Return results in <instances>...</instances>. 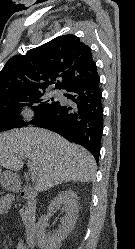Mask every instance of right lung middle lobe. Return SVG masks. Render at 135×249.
I'll return each mask as SVG.
<instances>
[{"label": "right lung middle lobe", "mask_w": 135, "mask_h": 249, "mask_svg": "<svg viewBox=\"0 0 135 249\" xmlns=\"http://www.w3.org/2000/svg\"><path fill=\"white\" fill-rule=\"evenodd\" d=\"M56 103L54 98H46L42 91L1 98L0 132L29 124L21 120L19 112L22 107H31L38 116L52 108Z\"/></svg>", "instance_id": "obj_1"}]
</instances>
